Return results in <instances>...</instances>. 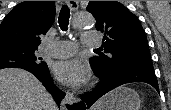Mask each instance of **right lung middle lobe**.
Masks as SVG:
<instances>
[{"label":"right lung middle lobe","instance_id":"1","mask_svg":"<svg viewBox=\"0 0 171 110\" xmlns=\"http://www.w3.org/2000/svg\"><path fill=\"white\" fill-rule=\"evenodd\" d=\"M36 51L37 48L32 47L0 45V69L16 67L47 70V65L37 56Z\"/></svg>","mask_w":171,"mask_h":110}]
</instances>
